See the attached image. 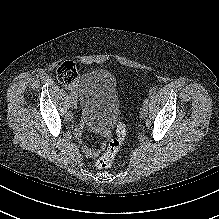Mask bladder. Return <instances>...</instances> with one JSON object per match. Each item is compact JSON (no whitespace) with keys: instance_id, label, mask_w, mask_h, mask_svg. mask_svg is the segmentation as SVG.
I'll list each match as a JSON object with an SVG mask.
<instances>
[{"instance_id":"bladder-1","label":"bladder","mask_w":219,"mask_h":219,"mask_svg":"<svg viewBox=\"0 0 219 219\" xmlns=\"http://www.w3.org/2000/svg\"><path fill=\"white\" fill-rule=\"evenodd\" d=\"M84 118L93 124L110 127L121 113L114 77L106 70L96 69L82 75L78 84Z\"/></svg>"}]
</instances>
